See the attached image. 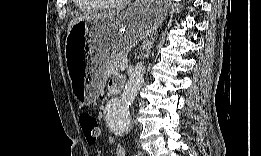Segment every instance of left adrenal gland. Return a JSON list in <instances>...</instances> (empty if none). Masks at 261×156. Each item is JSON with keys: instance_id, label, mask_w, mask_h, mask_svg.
Masks as SVG:
<instances>
[{"instance_id": "obj_1", "label": "left adrenal gland", "mask_w": 261, "mask_h": 156, "mask_svg": "<svg viewBox=\"0 0 261 156\" xmlns=\"http://www.w3.org/2000/svg\"><path fill=\"white\" fill-rule=\"evenodd\" d=\"M153 45V40L152 41H148V43L146 44V51H148Z\"/></svg>"}]
</instances>
